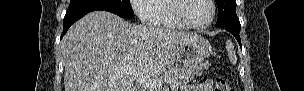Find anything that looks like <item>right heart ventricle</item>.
I'll list each match as a JSON object with an SVG mask.
<instances>
[{
  "label": "right heart ventricle",
  "mask_w": 304,
  "mask_h": 91,
  "mask_svg": "<svg viewBox=\"0 0 304 91\" xmlns=\"http://www.w3.org/2000/svg\"><path fill=\"white\" fill-rule=\"evenodd\" d=\"M174 0H157L152 6L155 20L151 23L155 27H163L168 29H183L172 14V6Z\"/></svg>",
  "instance_id": "obj_1"
}]
</instances>
